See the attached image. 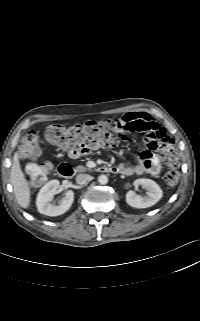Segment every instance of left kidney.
<instances>
[{"label": "left kidney", "instance_id": "obj_1", "mask_svg": "<svg viewBox=\"0 0 200 321\" xmlns=\"http://www.w3.org/2000/svg\"><path fill=\"white\" fill-rule=\"evenodd\" d=\"M135 186H143L146 188V196L142 197L133 191H128L126 194V202L134 208L142 209L148 208L156 204L163 196V192L159 185L147 178H140L134 181Z\"/></svg>", "mask_w": 200, "mask_h": 321}]
</instances>
